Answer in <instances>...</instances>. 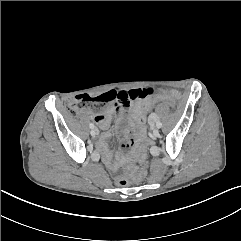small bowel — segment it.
Listing matches in <instances>:
<instances>
[{"mask_svg": "<svg viewBox=\"0 0 241 241\" xmlns=\"http://www.w3.org/2000/svg\"><path fill=\"white\" fill-rule=\"evenodd\" d=\"M134 91V92H133ZM107 93H114V94H124L128 95L129 103H134L130 106L129 112L127 114V108L129 107V104L126 108L124 116H121L120 119L117 122L116 129L119 134H121L125 140L123 142L124 147H129L134 143V137L137 133L138 135H142L144 133V114H143V108L146 107L150 100L155 97L158 93V90L155 86L150 85L146 88H138L130 91H109ZM162 95L164 96H177V91L174 89H163ZM113 104V103H112ZM113 108H108L105 112V114H95L93 116V119L96 121V123L104 130L108 129L111 123V113L116 110L119 112L118 107L113 104ZM130 129H135L137 132H130ZM110 137L109 132H104L99 139L97 140V148L101 152L102 159L104 163L112 170H116V165L113 160V156L111 152L108 149V143L107 140Z\"/></svg>", "mask_w": 241, "mask_h": 241, "instance_id": "obj_1", "label": "small bowel"}]
</instances>
